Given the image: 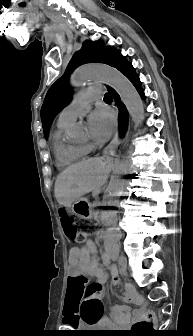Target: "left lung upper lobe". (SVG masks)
Listing matches in <instances>:
<instances>
[{
  "label": "left lung upper lobe",
  "instance_id": "left-lung-upper-lobe-1",
  "mask_svg": "<svg viewBox=\"0 0 193 336\" xmlns=\"http://www.w3.org/2000/svg\"><path fill=\"white\" fill-rule=\"evenodd\" d=\"M119 52L97 41H85L82 48L71 58L65 74L48 90L41 108V120L45 137L54 117L70 102L72 91L68 84L70 74L85 63H105L113 66Z\"/></svg>",
  "mask_w": 193,
  "mask_h": 336
}]
</instances>
